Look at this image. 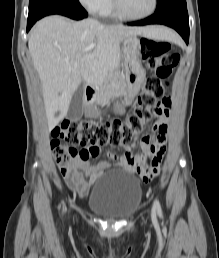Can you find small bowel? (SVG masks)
Returning a JSON list of instances; mask_svg holds the SVG:
<instances>
[{
  "label": "small bowel",
  "mask_w": 219,
  "mask_h": 258,
  "mask_svg": "<svg viewBox=\"0 0 219 258\" xmlns=\"http://www.w3.org/2000/svg\"><path fill=\"white\" fill-rule=\"evenodd\" d=\"M171 107L172 100L170 97H166L156 104V122L153 125L155 135L142 138L141 152L135 151L134 146L125 145L122 147L120 154L109 151L106 153L109 160L91 164L87 162V159L91 157L88 155L91 148L83 149L82 151L87 154L79 157L75 164L71 166V175L66 179L68 187L78 196L83 197L102 175L115 169L139 173L144 178V183H155V178H159V175H161L160 168L164 162L162 157L165 151ZM99 153H101L100 148H98L97 155ZM147 160H149L148 165Z\"/></svg>",
  "instance_id": "1"
}]
</instances>
